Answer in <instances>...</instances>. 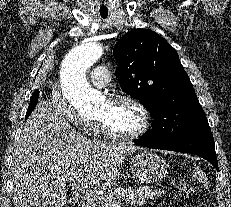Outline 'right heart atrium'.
Masks as SVG:
<instances>
[{
  "label": "right heart atrium",
  "instance_id": "right-heart-atrium-1",
  "mask_svg": "<svg viewBox=\"0 0 231 207\" xmlns=\"http://www.w3.org/2000/svg\"><path fill=\"white\" fill-rule=\"evenodd\" d=\"M52 105L55 111L67 120L70 124L76 127L79 131L84 134H92L96 131V124L80 114L72 105L69 103L64 96L59 92L55 91L52 95Z\"/></svg>",
  "mask_w": 231,
  "mask_h": 207
}]
</instances>
